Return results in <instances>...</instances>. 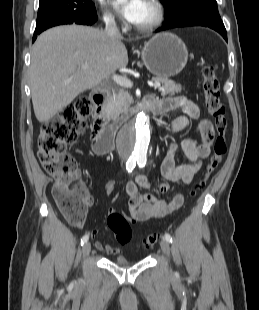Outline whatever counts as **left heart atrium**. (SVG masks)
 Listing matches in <instances>:
<instances>
[{
  "label": "left heart atrium",
  "mask_w": 259,
  "mask_h": 310,
  "mask_svg": "<svg viewBox=\"0 0 259 310\" xmlns=\"http://www.w3.org/2000/svg\"><path fill=\"white\" fill-rule=\"evenodd\" d=\"M143 0H114L119 13L129 22L134 23Z\"/></svg>",
  "instance_id": "39dd6f15"
}]
</instances>
